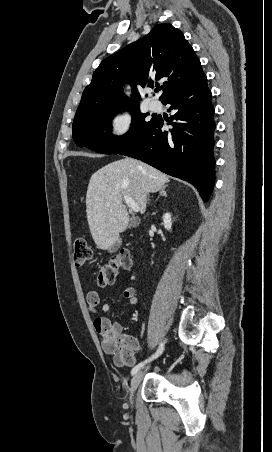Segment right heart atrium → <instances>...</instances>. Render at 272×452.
Instances as JSON below:
<instances>
[{
  "instance_id": "obj_1",
  "label": "right heart atrium",
  "mask_w": 272,
  "mask_h": 452,
  "mask_svg": "<svg viewBox=\"0 0 272 452\" xmlns=\"http://www.w3.org/2000/svg\"><path fill=\"white\" fill-rule=\"evenodd\" d=\"M133 114L127 109H120L108 118V133L113 138L125 136L133 126Z\"/></svg>"
}]
</instances>
